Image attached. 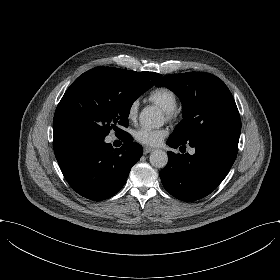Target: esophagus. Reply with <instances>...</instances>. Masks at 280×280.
I'll use <instances>...</instances> for the list:
<instances>
[{
	"mask_svg": "<svg viewBox=\"0 0 280 280\" xmlns=\"http://www.w3.org/2000/svg\"><path fill=\"white\" fill-rule=\"evenodd\" d=\"M152 150H153V148H151V147H144L143 153L146 155V154L150 153Z\"/></svg>",
	"mask_w": 280,
	"mask_h": 280,
	"instance_id": "esophagus-1",
	"label": "esophagus"
}]
</instances>
